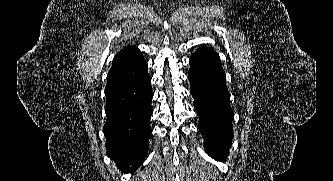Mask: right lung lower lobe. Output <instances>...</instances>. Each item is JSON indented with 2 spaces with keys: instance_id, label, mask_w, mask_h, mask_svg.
<instances>
[{
  "instance_id": "right-lung-lower-lobe-1",
  "label": "right lung lower lobe",
  "mask_w": 333,
  "mask_h": 181,
  "mask_svg": "<svg viewBox=\"0 0 333 181\" xmlns=\"http://www.w3.org/2000/svg\"><path fill=\"white\" fill-rule=\"evenodd\" d=\"M103 127L107 156L124 173L136 170L149 146L152 89L148 73L134 82L106 93Z\"/></svg>"
}]
</instances>
